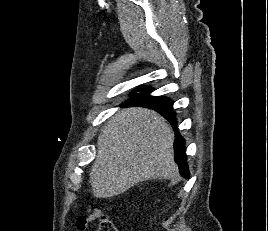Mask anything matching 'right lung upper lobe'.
I'll return each instance as SVG.
<instances>
[{
	"mask_svg": "<svg viewBox=\"0 0 268 231\" xmlns=\"http://www.w3.org/2000/svg\"><path fill=\"white\" fill-rule=\"evenodd\" d=\"M127 103H135V104H138V105H142L144 107H147V108H151V109H154L156 111L158 110H165L169 107H172V105L170 104H167V103H164V102H158V101H153V100H150V99H142V98H139L137 96H131L126 102L125 104Z\"/></svg>",
	"mask_w": 268,
	"mask_h": 231,
	"instance_id": "1",
	"label": "right lung upper lobe"
}]
</instances>
